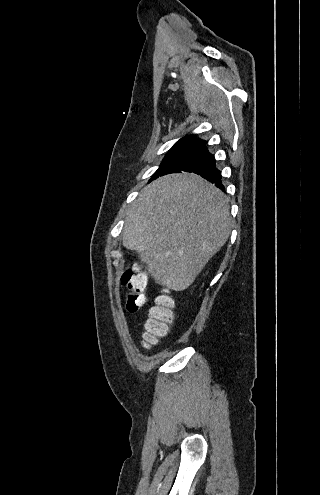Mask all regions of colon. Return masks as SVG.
I'll return each instance as SVG.
<instances>
[{
    "mask_svg": "<svg viewBox=\"0 0 320 495\" xmlns=\"http://www.w3.org/2000/svg\"><path fill=\"white\" fill-rule=\"evenodd\" d=\"M121 282L131 290L127 295L126 307L128 311L136 312L144 304L142 292L147 286V276L136 265H132L123 272ZM173 306L171 297L161 295L157 298V303L150 309L145 324L144 346H153L160 337L166 335L174 319Z\"/></svg>",
    "mask_w": 320,
    "mask_h": 495,
    "instance_id": "colon-1",
    "label": "colon"
}]
</instances>
